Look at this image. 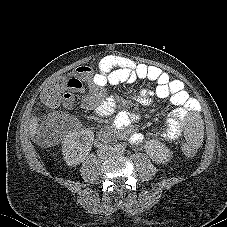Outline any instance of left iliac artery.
<instances>
[{"instance_id":"44dca946","label":"left iliac artery","mask_w":227,"mask_h":227,"mask_svg":"<svg viewBox=\"0 0 227 227\" xmlns=\"http://www.w3.org/2000/svg\"><path fill=\"white\" fill-rule=\"evenodd\" d=\"M117 151H118L119 153H124L125 148H123V147H119V148L117 149Z\"/></svg>"}]
</instances>
